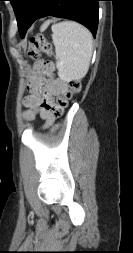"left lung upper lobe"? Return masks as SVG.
<instances>
[{
	"instance_id": "obj_1",
	"label": "left lung upper lobe",
	"mask_w": 133,
	"mask_h": 253,
	"mask_svg": "<svg viewBox=\"0 0 133 253\" xmlns=\"http://www.w3.org/2000/svg\"><path fill=\"white\" fill-rule=\"evenodd\" d=\"M13 6L16 17L18 16L25 0H9Z\"/></svg>"
}]
</instances>
